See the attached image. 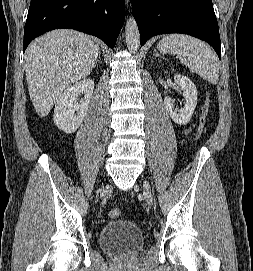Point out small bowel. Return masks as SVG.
Instances as JSON below:
<instances>
[{
  "label": "small bowel",
  "instance_id": "c3829d8e",
  "mask_svg": "<svg viewBox=\"0 0 253 271\" xmlns=\"http://www.w3.org/2000/svg\"><path fill=\"white\" fill-rule=\"evenodd\" d=\"M192 131V129L191 128H187V129H185V133H190Z\"/></svg>",
  "mask_w": 253,
  "mask_h": 271
}]
</instances>
